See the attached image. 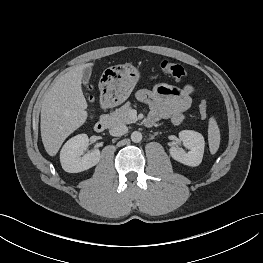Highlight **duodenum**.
Returning <instances> with one entry per match:
<instances>
[{"mask_svg": "<svg viewBox=\"0 0 263 263\" xmlns=\"http://www.w3.org/2000/svg\"><path fill=\"white\" fill-rule=\"evenodd\" d=\"M102 106H104L105 108H108V105L103 103ZM108 123H109V119L104 117V118H101L100 120H98L95 125H94V130L97 132V133H102L103 131L106 130L107 126H108Z\"/></svg>", "mask_w": 263, "mask_h": 263, "instance_id": "duodenum-1", "label": "duodenum"}]
</instances>
